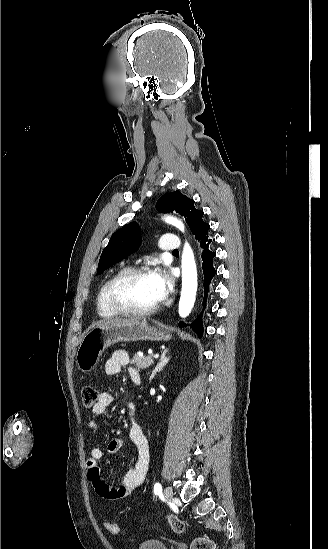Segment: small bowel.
I'll return each mask as SVG.
<instances>
[{
	"mask_svg": "<svg viewBox=\"0 0 328 549\" xmlns=\"http://www.w3.org/2000/svg\"><path fill=\"white\" fill-rule=\"evenodd\" d=\"M130 358L126 351L117 350L107 359L104 365V371L107 375L113 376L120 372L124 367H128L131 377L135 380L138 377L135 369L129 367ZM113 395L109 392H102L95 405L92 407L94 415H103L113 402ZM126 404L131 415L134 414V405L126 400ZM88 428L92 431H98L99 424L96 420L88 422ZM130 445L137 452L134 466L130 468L123 476L119 486H113L104 481L98 462L103 457V451L99 447L91 449L90 457L87 460L88 478L92 483L96 493L106 500H118L130 495L144 481L149 468L150 448L148 439L143 433L141 427L132 418L129 434L126 438H116L107 445V452L110 455L117 453L123 446Z\"/></svg>",
	"mask_w": 328,
	"mask_h": 549,
	"instance_id": "c3829d8e",
	"label": "small bowel"
}]
</instances>
